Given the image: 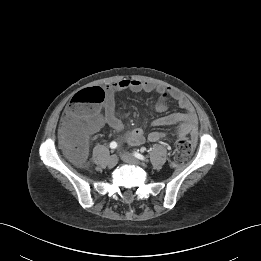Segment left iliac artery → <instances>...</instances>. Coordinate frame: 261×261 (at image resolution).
<instances>
[{
    "mask_svg": "<svg viewBox=\"0 0 261 261\" xmlns=\"http://www.w3.org/2000/svg\"><path fill=\"white\" fill-rule=\"evenodd\" d=\"M134 156L142 161H147V159L140 153L134 152Z\"/></svg>",
    "mask_w": 261,
    "mask_h": 261,
    "instance_id": "obj_1",
    "label": "left iliac artery"
}]
</instances>
